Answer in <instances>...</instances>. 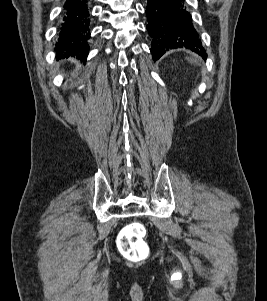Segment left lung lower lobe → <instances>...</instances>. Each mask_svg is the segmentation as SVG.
Wrapping results in <instances>:
<instances>
[{"mask_svg": "<svg viewBox=\"0 0 267 301\" xmlns=\"http://www.w3.org/2000/svg\"><path fill=\"white\" fill-rule=\"evenodd\" d=\"M146 15L154 60L174 48L190 49L206 59L207 54L184 0H148Z\"/></svg>", "mask_w": 267, "mask_h": 301, "instance_id": "obj_1", "label": "left lung lower lobe"}]
</instances>
